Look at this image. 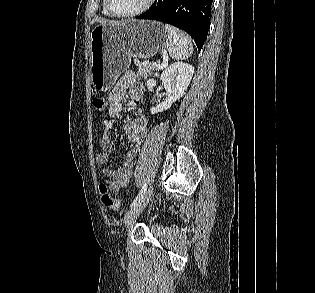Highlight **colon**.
<instances>
[{"instance_id": "5ec220e1", "label": "colon", "mask_w": 315, "mask_h": 293, "mask_svg": "<svg viewBox=\"0 0 315 293\" xmlns=\"http://www.w3.org/2000/svg\"><path fill=\"white\" fill-rule=\"evenodd\" d=\"M107 106V100L104 97H97L93 100V107L97 111H103ZM100 197L102 204L112 210H119L121 208V201L114 198L108 191V187L105 183L99 185Z\"/></svg>"}]
</instances>
